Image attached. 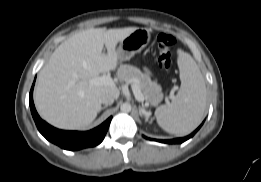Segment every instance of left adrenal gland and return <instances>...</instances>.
Segmentation results:
<instances>
[{"label":"left adrenal gland","instance_id":"a2214340","mask_svg":"<svg viewBox=\"0 0 261 182\" xmlns=\"http://www.w3.org/2000/svg\"><path fill=\"white\" fill-rule=\"evenodd\" d=\"M139 111H140L141 117H145V121H148L149 114L144 109H142L141 107L139 108Z\"/></svg>","mask_w":261,"mask_h":182}]
</instances>
